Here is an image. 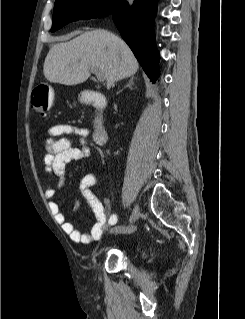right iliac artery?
<instances>
[{
    "mask_svg": "<svg viewBox=\"0 0 245 319\" xmlns=\"http://www.w3.org/2000/svg\"><path fill=\"white\" fill-rule=\"evenodd\" d=\"M131 222V219H130ZM133 231L132 227H125V226H116L114 227L111 232H115V233H131Z\"/></svg>",
    "mask_w": 245,
    "mask_h": 319,
    "instance_id": "1",
    "label": "right iliac artery"
}]
</instances>
